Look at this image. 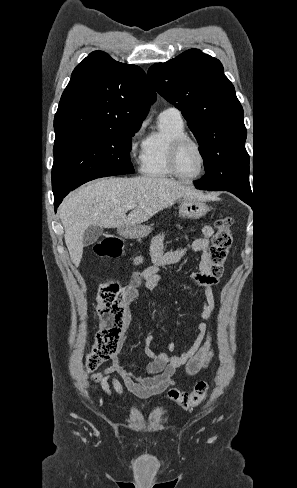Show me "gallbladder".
Here are the masks:
<instances>
[{
	"label": "gallbladder",
	"mask_w": 297,
	"mask_h": 488,
	"mask_svg": "<svg viewBox=\"0 0 297 488\" xmlns=\"http://www.w3.org/2000/svg\"><path fill=\"white\" fill-rule=\"evenodd\" d=\"M103 233V228L97 225L89 226L83 235L84 246L94 244Z\"/></svg>",
	"instance_id": "1"
}]
</instances>
